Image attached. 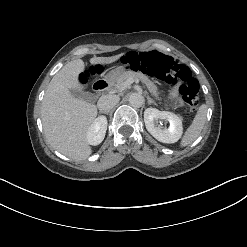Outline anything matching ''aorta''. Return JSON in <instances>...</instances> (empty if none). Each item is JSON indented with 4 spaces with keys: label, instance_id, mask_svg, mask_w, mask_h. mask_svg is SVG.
<instances>
[{
    "label": "aorta",
    "instance_id": "obj_1",
    "mask_svg": "<svg viewBox=\"0 0 247 247\" xmlns=\"http://www.w3.org/2000/svg\"><path fill=\"white\" fill-rule=\"evenodd\" d=\"M129 103L135 108H139L144 104V97L140 93H132L129 96Z\"/></svg>",
    "mask_w": 247,
    "mask_h": 247
}]
</instances>
